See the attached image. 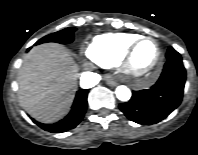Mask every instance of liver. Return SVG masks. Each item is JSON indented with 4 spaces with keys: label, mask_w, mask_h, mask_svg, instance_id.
I'll return each instance as SVG.
<instances>
[{
    "label": "liver",
    "mask_w": 198,
    "mask_h": 155,
    "mask_svg": "<svg viewBox=\"0 0 198 155\" xmlns=\"http://www.w3.org/2000/svg\"><path fill=\"white\" fill-rule=\"evenodd\" d=\"M77 65L58 44L34 47L18 72L19 102L34 119L52 123L70 109L77 89Z\"/></svg>",
    "instance_id": "1"
}]
</instances>
